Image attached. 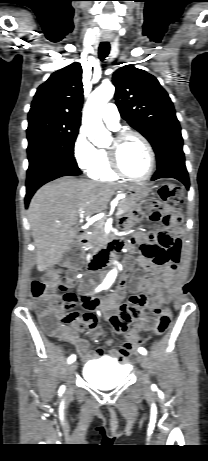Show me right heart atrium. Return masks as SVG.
Here are the masks:
<instances>
[{
  "label": "right heart atrium",
  "instance_id": "d8ad5b80",
  "mask_svg": "<svg viewBox=\"0 0 208 461\" xmlns=\"http://www.w3.org/2000/svg\"><path fill=\"white\" fill-rule=\"evenodd\" d=\"M97 149L83 131H80L73 144V156L76 164L82 170H88L96 158Z\"/></svg>",
  "mask_w": 208,
  "mask_h": 461
}]
</instances>
